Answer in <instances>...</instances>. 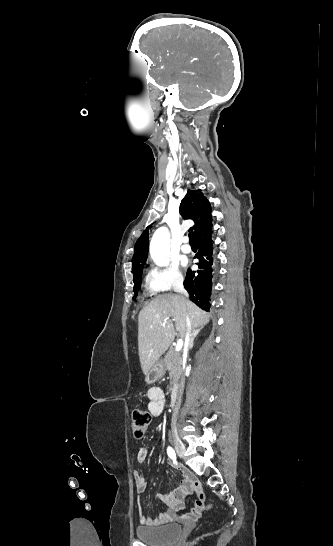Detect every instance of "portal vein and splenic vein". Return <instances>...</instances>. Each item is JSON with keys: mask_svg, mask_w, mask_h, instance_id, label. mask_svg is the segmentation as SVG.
I'll use <instances>...</instances> for the list:
<instances>
[{"mask_svg": "<svg viewBox=\"0 0 333 546\" xmlns=\"http://www.w3.org/2000/svg\"><path fill=\"white\" fill-rule=\"evenodd\" d=\"M165 323H166V321L163 322V325H165ZM182 347H183V340H182V339H179V340L177 341L176 346H175V351H176V352H179V351L182 349Z\"/></svg>", "mask_w": 333, "mask_h": 546, "instance_id": "portal-vein-and-splenic-vein-1", "label": "portal vein and splenic vein"}]
</instances>
